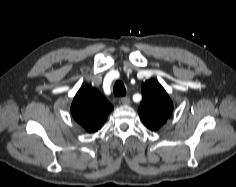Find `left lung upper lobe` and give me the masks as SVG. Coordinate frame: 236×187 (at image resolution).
Listing matches in <instances>:
<instances>
[{
  "label": "left lung upper lobe",
  "mask_w": 236,
  "mask_h": 187,
  "mask_svg": "<svg viewBox=\"0 0 236 187\" xmlns=\"http://www.w3.org/2000/svg\"><path fill=\"white\" fill-rule=\"evenodd\" d=\"M142 101L138 113L147 128L158 130L170 117L173 103L165 89L155 80H148L141 86Z\"/></svg>",
  "instance_id": "left-lung-upper-lobe-1"
}]
</instances>
